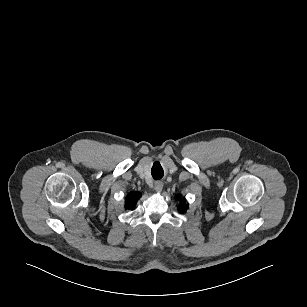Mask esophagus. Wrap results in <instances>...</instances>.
<instances>
[{
  "instance_id": "1",
  "label": "esophagus",
  "mask_w": 307,
  "mask_h": 307,
  "mask_svg": "<svg viewBox=\"0 0 307 307\" xmlns=\"http://www.w3.org/2000/svg\"><path fill=\"white\" fill-rule=\"evenodd\" d=\"M162 189H163V183L160 182V181H156V182L154 183V190H155L156 192L160 193V192L162 191Z\"/></svg>"
}]
</instances>
